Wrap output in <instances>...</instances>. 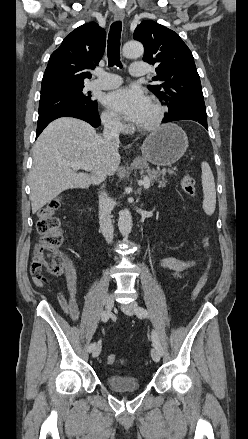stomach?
<instances>
[{"label":"stomach","instance_id":"1","mask_svg":"<svg viewBox=\"0 0 248 439\" xmlns=\"http://www.w3.org/2000/svg\"><path fill=\"white\" fill-rule=\"evenodd\" d=\"M188 147L186 133L176 124L169 123L153 131L143 142L144 159L157 166H170L177 162Z\"/></svg>","mask_w":248,"mask_h":439}]
</instances>
